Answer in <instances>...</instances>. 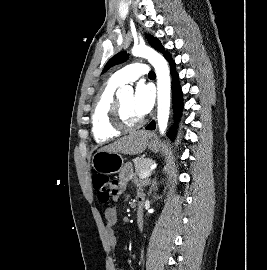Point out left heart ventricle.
I'll return each mask as SVG.
<instances>
[{"instance_id":"1","label":"left heart ventricle","mask_w":267,"mask_h":270,"mask_svg":"<svg viewBox=\"0 0 267 270\" xmlns=\"http://www.w3.org/2000/svg\"><path fill=\"white\" fill-rule=\"evenodd\" d=\"M124 118L129 123H135L139 121L140 117L133 108V96L129 95L120 99Z\"/></svg>"}]
</instances>
